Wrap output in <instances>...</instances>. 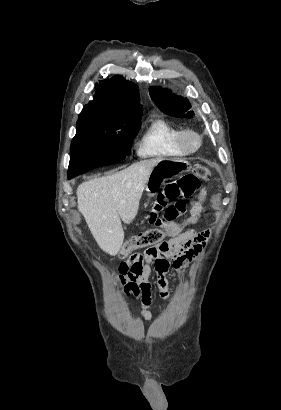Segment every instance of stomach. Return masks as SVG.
<instances>
[{
	"label": "stomach",
	"instance_id": "1",
	"mask_svg": "<svg viewBox=\"0 0 281 410\" xmlns=\"http://www.w3.org/2000/svg\"><path fill=\"white\" fill-rule=\"evenodd\" d=\"M191 165L185 159L162 158L153 167L147 182L146 191L152 196L166 180L189 171Z\"/></svg>",
	"mask_w": 281,
	"mask_h": 410
}]
</instances>
